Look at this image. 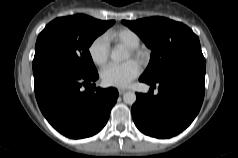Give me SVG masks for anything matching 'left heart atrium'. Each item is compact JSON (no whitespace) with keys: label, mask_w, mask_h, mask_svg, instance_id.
Here are the masks:
<instances>
[{"label":"left heart atrium","mask_w":238,"mask_h":158,"mask_svg":"<svg viewBox=\"0 0 238 158\" xmlns=\"http://www.w3.org/2000/svg\"><path fill=\"white\" fill-rule=\"evenodd\" d=\"M140 73L137 62L130 60L122 64H109L101 71L103 82L112 87H126Z\"/></svg>","instance_id":"1"}]
</instances>
